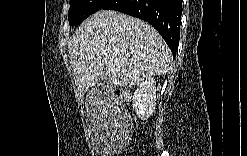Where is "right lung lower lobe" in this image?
<instances>
[{"instance_id":"1","label":"right lung lower lobe","mask_w":247,"mask_h":156,"mask_svg":"<svg viewBox=\"0 0 247 156\" xmlns=\"http://www.w3.org/2000/svg\"><path fill=\"white\" fill-rule=\"evenodd\" d=\"M101 10H116L150 23L176 54L181 23L180 0H108Z\"/></svg>"}]
</instances>
